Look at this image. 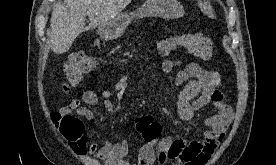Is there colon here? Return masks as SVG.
<instances>
[{
	"label": "colon",
	"instance_id": "obj_1",
	"mask_svg": "<svg viewBox=\"0 0 276 165\" xmlns=\"http://www.w3.org/2000/svg\"><path fill=\"white\" fill-rule=\"evenodd\" d=\"M184 47L192 55L202 60H209L213 56V46L211 40L200 33L184 35L179 38L165 40L160 43L159 53L168 54L177 47ZM96 67L95 59L85 52H75L71 54L65 63V84L64 89L69 90L72 87L82 83L85 75L92 72ZM52 119L63 134L71 143L76 144L83 133L82 122L74 116H62L58 112L53 113ZM137 130L142 133L144 139L151 143L161 134V126L151 116L143 115L137 119Z\"/></svg>",
	"mask_w": 276,
	"mask_h": 165
}]
</instances>
